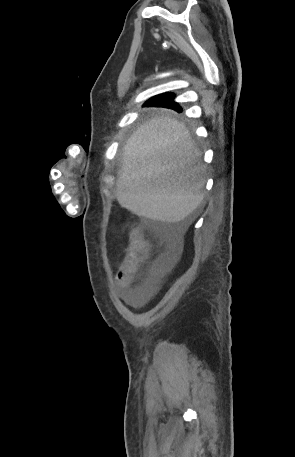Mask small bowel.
Wrapping results in <instances>:
<instances>
[{
  "instance_id": "1",
  "label": "small bowel",
  "mask_w": 295,
  "mask_h": 457,
  "mask_svg": "<svg viewBox=\"0 0 295 457\" xmlns=\"http://www.w3.org/2000/svg\"><path fill=\"white\" fill-rule=\"evenodd\" d=\"M118 279L121 287L125 289L124 297L129 304L138 307L144 305L148 301L150 293L147 287L129 288L132 281V275L119 273Z\"/></svg>"
}]
</instances>
